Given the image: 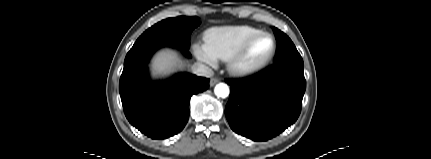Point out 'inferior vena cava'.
Listing matches in <instances>:
<instances>
[{
  "mask_svg": "<svg viewBox=\"0 0 431 159\" xmlns=\"http://www.w3.org/2000/svg\"><path fill=\"white\" fill-rule=\"evenodd\" d=\"M192 72L196 74L197 76H203V77H212L214 72L211 68L208 66L202 64V63H194L191 67Z\"/></svg>",
  "mask_w": 431,
  "mask_h": 159,
  "instance_id": "1",
  "label": "inferior vena cava"
}]
</instances>
